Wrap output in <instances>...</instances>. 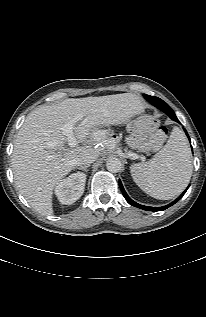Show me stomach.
Masks as SVG:
<instances>
[{
  "instance_id": "0dacf381",
  "label": "stomach",
  "mask_w": 206,
  "mask_h": 317,
  "mask_svg": "<svg viewBox=\"0 0 206 317\" xmlns=\"http://www.w3.org/2000/svg\"><path fill=\"white\" fill-rule=\"evenodd\" d=\"M128 136L126 143L129 147L141 152H146L152 149L150 143V129L146 124H142L138 117L128 121L126 125ZM114 135L113 127L110 124L102 123L92 129L91 137L95 143L104 144L109 142Z\"/></svg>"
}]
</instances>
